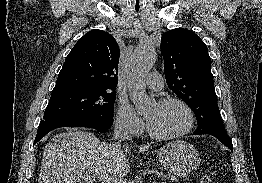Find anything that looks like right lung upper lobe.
<instances>
[{
	"mask_svg": "<svg viewBox=\"0 0 262 183\" xmlns=\"http://www.w3.org/2000/svg\"><path fill=\"white\" fill-rule=\"evenodd\" d=\"M120 49L110 34L92 30L68 54L53 92L81 88L115 89Z\"/></svg>",
	"mask_w": 262,
	"mask_h": 183,
	"instance_id": "1",
	"label": "right lung upper lobe"
}]
</instances>
